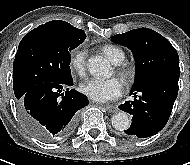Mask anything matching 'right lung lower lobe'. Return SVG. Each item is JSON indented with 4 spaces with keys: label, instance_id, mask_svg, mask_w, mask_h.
<instances>
[{
    "label": "right lung lower lobe",
    "instance_id": "right-lung-lower-lobe-1",
    "mask_svg": "<svg viewBox=\"0 0 190 165\" xmlns=\"http://www.w3.org/2000/svg\"><path fill=\"white\" fill-rule=\"evenodd\" d=\"M72 85L73 80L39 83L17 102L23 124L39 140L50 142L72 134L78 110L88 105L87 97L73 89L62 93L64 87Z\"/></svg>",
    "mask_w": 190,
    "mask_h": 165
}]
</instances>
